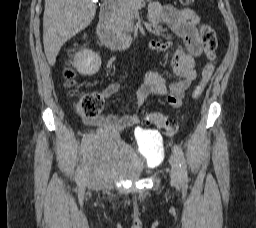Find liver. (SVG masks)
Segmentation results:
<instances>
[{
    "label": "liver",
    "instance_id": "6515ba94",
    "mask_svg": "<svg viewBox=\"0 0 256 228\" xmlns=\"http://www.w3.org/2000/svg\"><path fill=\"white\" fill-rule=\"evenodd\" d=\"M95 14L94 0H45L43 44L51 66L65 42L88 27Z\"/></svg>",
    "mask_w": 256,
    "mask_h": 228
}]
</instances>
